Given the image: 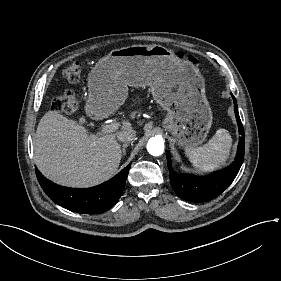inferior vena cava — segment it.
I'll use <instances>...</instances> for the list:
<instances>
[{"label":"inferior vena cava","mask_w":281,"mask_h":281,"mask_svg":"<svg viewBox=\"0 0 281 281\" xmlns=\"http://www.w3.org/2000/svg\"><path fill=\"white\" fill-rule=\"evenodd\" d=\"M136 137V131L133 129L127 131H120L117 133V138L119 141L124 143H130Z\"/></svg>","instance_id":"1"}]
</instances>
